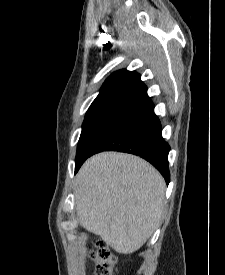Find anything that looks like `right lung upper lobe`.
<instances>
[{
  "label": "right lung upper lobe",
  "instance_id": "obj_1",
  "mask_svg": "<svg viewBox=\"0 0 225 275\" xmlns=\"http://www.w3.org/2000/svg\"><path fill=\"white\" fill-rule=\"evenodd\" d=\"M153 105L147 88L134 71L119 70L103 84L85 118L105 114L129 116Z\"/></svg>",
  "mask_w": 225,
  "mask_h": 275
}]
</instances>
